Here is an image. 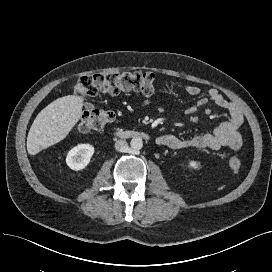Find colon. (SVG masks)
<instances>
[{
    "mask_svg": "<svg viewBox=\"0 0 272 272\" xmlns=\"http://www.w3.org/2000/svg\"><path fill=\"white\" fill-rule=\"evenodd\" d=\"M138 91L150 95L154 91V76L150 73H110L85 75L73 86V92L79 97H93L99 94L116 95L125 91ZM115 119L109 109H95L85 112L77 124L80 132L100 131ZM228 167L232 171H240L244 167L238 156L228 159Z\"/></svg>",
    "mask_w": 272,
    "mask_h": 272,
    "instance_id": "colon-1",
    "label": "colon"
}]
</instances>
